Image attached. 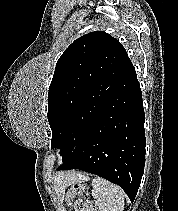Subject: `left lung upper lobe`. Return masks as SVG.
Wrapping results in <instances>:
<instances>
[{"label": "left lung upper lobe", "mask_w": 178, "mask_h": 211, "mask_svg": "<svg viewBox=\"0 0 178 211\" xmlns=\"http://www.w3.org/2000/svg\"><path fill=\"white\" fill-rule=\"evenodd\" d=\"M131 64L124 47L106 32L76 39L57 61L48 93L51 147L63 162L102 114L116 83Z\"/></svg>", "instance_id": "1"}]
</instances>
